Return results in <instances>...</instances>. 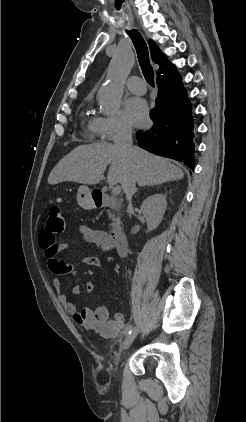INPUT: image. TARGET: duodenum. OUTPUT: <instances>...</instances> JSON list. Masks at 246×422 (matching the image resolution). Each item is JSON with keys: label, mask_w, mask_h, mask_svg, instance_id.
Segmentation results:
<instances>
[{"label": "duodenum", "mask_w": 246, "mask_h": 422, "mask_svg": "<svg viewBox=\"0 0 246 422\" xmlns=\"http://www.w3.org/2000/svg\"><path fill=\"white\" fill-rule=\"evenodd\" d=\"M94 204L97 208H102V207L118 208L120 206L119 202H117L116 200L108 196H101V195L94 196ZM109 236L111 238V241L114 247L117 250V253L120 256H124L128 250V243H127V238L123 229L119 226H114L111 229Z\"/></svg>", "instance_id": "1"}]
</instances>
